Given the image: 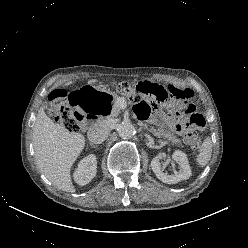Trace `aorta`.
<instances>
[{
	"instance_id": "aorta-1",
	"label": "aorta",
	"mask_w": 248,
	"mask_h": 248,
	"mask_svg": "<svg viewBox=\"0 0 248 248\" xmlns=\"http://www.w3.org/2000/svg\"><path fill=\"white\" fill-rule=\"evenodd\" d=\"M135 133V128L131 122H122L118 126V134L123 139H130Z\"/></svg>"
}]
</instances>
